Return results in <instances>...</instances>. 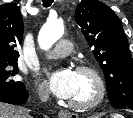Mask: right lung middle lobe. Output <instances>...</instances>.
I'll return each instance as SVG.
<instances>
[{"label": "right lung middle lobe", "instance_id": "dd1d6c3e", "mask_svg": "<svg viewBox=\"0 0 133 118\" xmlns=\"http://www.w3.org/2000/svg\"><path fill=\"white\" fill-rule=\"evenodd\" d=\"M18 73L17 62H0V90H9L23 85L16 80Z\"/></svg>", "mask_w": 133, "mask_h": 118}]
</instances>
